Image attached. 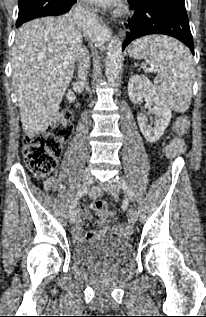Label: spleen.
<instances>
[{"label":"spleen","mask_w":206,"mask_h":317,"mask_svg":"<svg viewBox=\"0 0 206 317\" xmlns=\"http://www.w3.org/2000/svg\"><path fill=\"white\" fill-rule=\"evenodd\" d=\"M128 52L157 72L155 88L168 107L177 112L189 108L194 67L190 51L182 43L161 35L146 36L132 42Z\"/></svg>","instance_id":"obj_1"}]
</instances>
